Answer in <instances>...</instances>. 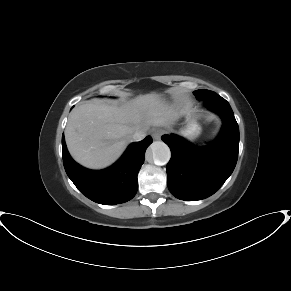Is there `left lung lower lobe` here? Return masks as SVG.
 I'll use <instances>...</instances> for the list:
<instances>
[{"label": "left lung lower lobe", "mask_w": 291, "mask_h": 291, "mask_svg": "<svg viewBox=\"0 0 291 291\" xmlns=\"http://www.w3.org/2000/svg\"><path fill=\"white\" fill-rule=\"evenodd\" d=\"M223 120L218 138L204 148L192 146L177 135H164L170 147L167 185L178 199L196 201L214 194L232 174L239 150V127L229 103L211 91L202 99Z\"/></svg>", "instance_id": "1"}]
</instances>
